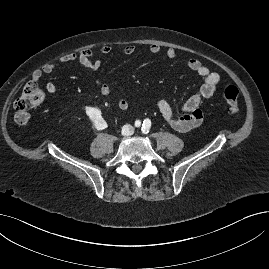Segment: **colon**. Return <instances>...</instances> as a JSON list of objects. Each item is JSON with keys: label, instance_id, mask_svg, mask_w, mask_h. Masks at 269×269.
Wrapping results in <instances>:
<instances>
[{"label": "colon", "instance_id": "1", "mask_svg": "<svg viewBox=\"0 0 269 269\" xmlns=\"http://www.w3.org/2000/svg\"><path fill=\"white\" fill-rule=\"evenodd\" d=\"M223 98L227 104L231 115H237L239 112V92L234 86H227L223 90ZM45 99V94L34 81L27 82L20 95L14 102L15 122L19 125H25L30 120V111L39 106Z\"/></svg>", "mask_w": 269, "mask_h": 269}]
</instances>
